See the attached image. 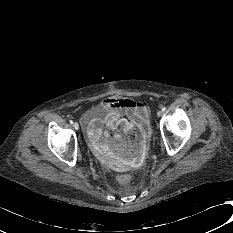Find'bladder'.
I'll return each mask as SVG.
<instances>
[{
    "instance_id": "31cf9c89",
    "label": "bladder",
    "mask_w": 233,
    "mask_h": 233,
    "mask_svg": "<svg viewBox=\"0 0 233 233\" xmlns=\"http://www.w3.org/2000/svg\"><path fill=\"white\" fill-rule=\"evenodd\" d=\"M95 111H97V112H102L100 109H97V110H95Z\"/></svg>"
}]
</instances>
